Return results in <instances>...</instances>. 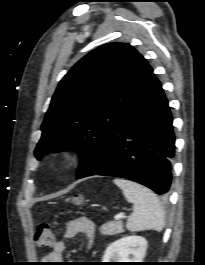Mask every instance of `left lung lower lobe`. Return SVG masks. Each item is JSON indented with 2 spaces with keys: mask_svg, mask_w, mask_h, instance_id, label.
Here are the masks:
<instances>
[{
  "mask_svg": "<svg viewBox=\"0 0 205 265\" xmlns=\"http://www.w3.org/2000/svg\"><path fill=\"white\" fill-rule=\"evenodd\" d=\"M175 151L172 116L160 81L148 83L93 160L77 175L115 176L138 182L157 194L168 192Z\"/></svg>",
  "mask_w": 205,
  "mask_h": 265,
  "instance_id": "left-lung-lower-lobe-1",
  "label": "left lung lower lobe"
}]
</instances>
